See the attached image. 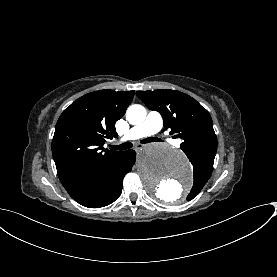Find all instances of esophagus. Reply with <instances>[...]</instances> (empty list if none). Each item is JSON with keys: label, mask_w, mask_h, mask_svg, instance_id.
Masks as SVG:
<instances>
[{"label": "esophagus", "mask_w": 277, "mask_h": 277, "mask_svg": "<svg viewBox=\"0 0 277 277\" xmlns=\"http://www.w3.org/2000/svg\"><path fill=\"white\" fill-rule=\"evenodd\" d=\"M145 145L144 144H137L135 147L137 148V149H142L143 147H144Z\"/></svg>", "instance_id": "34e87169"}]
</instances>
